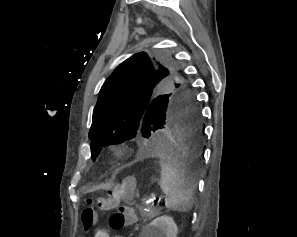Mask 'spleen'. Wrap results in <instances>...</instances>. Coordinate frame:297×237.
Wrapping results in <instances>:
<instances>
[{
  "instance_id": "obj_1",
  "label": "spleen",
  "mask_w": 297,
  "mask_h": 237,
  "mask_svg": "<svg viewBox=\"0 0 297 237\" xmlns=\"http://www.w3.org/2000/svg\"><path fill=\"white\" fill-rule=\"evenodd\" d=\"M162 192L166 195V207L178 212H188L193 206L194 185L171 161H160Z\"/></svg>"
}]
</instances>
